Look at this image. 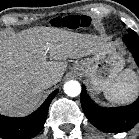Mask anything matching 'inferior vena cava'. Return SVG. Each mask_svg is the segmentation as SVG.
Segmentation results:
<instances>
[{"mask_svg":"<svg viewBox=\"0 0 139 139\" xmlns=\"http://www.w3.org/2000/svg\"><path fill=\"white\" fill-rule=\"evenodd\" d=\"M54 79L50 76H45L43 78L40 79L39 81V86L43 89L50 87L51 85H53Z\"/></svg>","mask_w":139,"mask_h":139,"instance_id":"inferior-vena-cava-1","label":"inferior vena cava"}]
</instances>
